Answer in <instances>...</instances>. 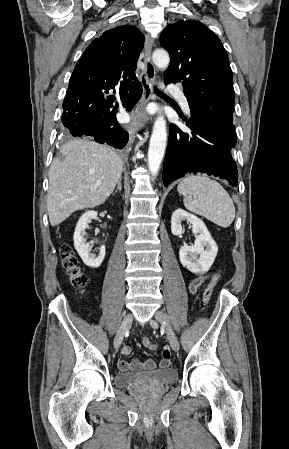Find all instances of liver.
<instances>
[{
  "label": "liver",
  "mask_w": 289,
  "mask_h": 449,
  "mask_svg": "<svg viewBox=\"0 0 289 449\" xmlns=\"http://www.w3.org/2000/svg\"><path fill=\"white\" fill-rule=\"evenodd\" d=\"M49 169L47 210L52 226L73 212L103 204L121 179L123 161L112 148L74 139L60 148Z\"/></svg>",
  "instance_id": "1"
}]
</instances>
